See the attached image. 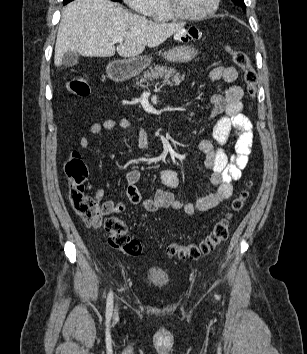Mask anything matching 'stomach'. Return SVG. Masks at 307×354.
Listing matches in <instances>:
<instances>
[{
    "label": "stomach",
    "mask_w": 307,
    "mask_h": 354,
    "mask_svg": "<svg viewBox=\"0 0 307 354\" xmlns=\"http://www.w3.org/2000/svg\"><path fill=\"white\" fill-rule=\"evenodd\" d=\"M189 36L186 38H176L178 41L182 42L183 45L170 49L164 53L165 59L172 62H189L197 54V50L188 45V43L200 37V32L196 28H190ZM151 63V58L148 56H137L129 59H124L116 63L114 69H110L109 73L111 76L117 77L119 79H127L138 75Z\"/></svg>",
    "instance_id": "obj_1"
}]
</instances>
